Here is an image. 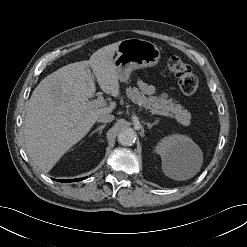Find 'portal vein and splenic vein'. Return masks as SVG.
Segmentation results:
<instances>
[{"mask_svg":"<svg viewBox=\"0 0 247 247\" xmlns=\"http://www.w3.org/2000/svg\"><path fill=\"white\" fill-rule=\"evenodd\" d=\"M91 105L96 107H103L106 105V101L104 100L102 95H99L97 99L90 101ZM153 114L162 115V116H169L168 113L160 110H156L152 112Z\"/></svg>","mask_w":247,"mask_h":247,"instance_id":"obj_1","label":"portal vein and splenic vein"}]
</instances>
